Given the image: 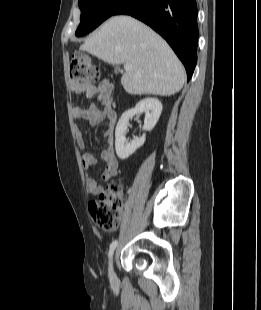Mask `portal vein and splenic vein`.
Listing matches in <instances>:
<instances>
[{
  "instance_id": "1",
  "label": "portal vein and splenic vein",
  "mask_w": 261,
  "mask_h": 310,
  "mask_svg": "<svg viewBox=\"0 0 261 310\" xmlns=\"http://www.w3.org/2000/svg\"><path fill=\"white\" fill-rule=\"evenodd\" d=\"M131 65H129V64H126V65H124V70L125 71H129V70H131Z\"/></svg>"
}]
</instances>
